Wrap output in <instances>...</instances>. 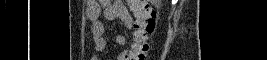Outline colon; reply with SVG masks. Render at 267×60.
Instances as JSON below:
<instances>
[{
  "label": "colon",
  "instance_id": "5ec220e1",
  "mask_svg": "<svg viewBox=\"0 0 267 60\" xmlns=\"http://www.w3.org/2000/svg\"><path fill=\"white\" fill-rule=\"evenodd\" d=\"M153 1L129 0L133 13L135 38L132 41V60H145L150 51V37L157 25Z\"/></svg>",
  "mask_w": 267,
  "mask_h": 60
}]
</instances>
